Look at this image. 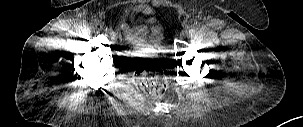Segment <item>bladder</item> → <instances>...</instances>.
<instances>
[{
  "label": "bladder",
  "instance_id": "1",
  "mask_svg": "<svg viewBox=\"0 0 303 127\" xmlns=\"http://www.w3.org/2000/svg\"><path fill=\"white\" fill-rule=\"evenodd\" d=\"M140 10H142V7H134L132 9L130 12L131 23L128 27H123L124 32L134 37H137L138 35H148L154 41L162 40L164 36V29L159 21L153 20L146 25H142L135 20V14Z\"/></svg>",
  "mask_w": 303,
  "mask_h": 127
}]
</instances>
